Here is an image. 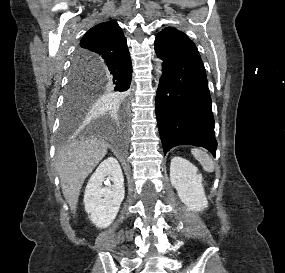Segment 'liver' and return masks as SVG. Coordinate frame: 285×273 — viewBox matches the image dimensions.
<instances>
[{
    "mask_svg": "<svg viewBox=\"0 0 285 273\" xmlns=\"http://www.w3.org/2000/svg\"><path fill=\"white\" fill-rule=\"evenodd\" d=\"M107 148L104 140L89 138L73 141L58 152L56 170L64 198L73 214L84 180L106 155Z\"/></svg>",
    "mask_w": 285,
    "mask_h": 273,
    "instance_id": "obj_1",
    "label": "liver"
}]
</instances>
